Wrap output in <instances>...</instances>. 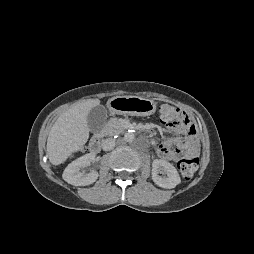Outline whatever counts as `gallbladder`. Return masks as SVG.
I'll return each mask as SVG.
<instances>
[{
    "instance_id": "obj_1",
    "label": "gallbladder",
    "mask_w": 254,
    "mask_h": 254,
    "mask_svg": "<svg viewBox=\"0 0 254 254\" xmlns=\"http://www.w3.org/2000/svg\"><path fill=\"white\" fill-rule=\"evenodd\" d=\"M107 119V110L99 105L91 109L87 117V125L91 132L98 133L103 128Z\"/></svg>"
}]
</instances>
